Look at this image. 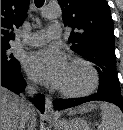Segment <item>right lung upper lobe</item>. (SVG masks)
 <instances>
[{"label": "right lung upper lobe", "mask_w": 123, "mask_h": 130, "mask_svg": "<svg viewBox=\"0 0 123 130\" xmlns=\"http://www.w3.org/2000/svg\"><path fill=\"white\" fill-rule=\"evenodd\" d=\"M29 7V0H1V44H9Z\"/></svg>", "instance_id": "1"}]
</instances>
